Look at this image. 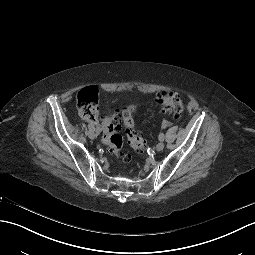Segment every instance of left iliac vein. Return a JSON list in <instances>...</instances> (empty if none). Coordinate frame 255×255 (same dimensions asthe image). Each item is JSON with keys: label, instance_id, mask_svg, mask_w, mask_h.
Instances as JSON below:
<instances>
[{"label": "left iliac vein", "instance_id": "4c4485c4", "mask_svg": "<svg viewBox=\"0 0 255 255\" xmlns=\"http://www.w3.org/2000/svg\"><path fill=\"white\" fill-rule=\"evenodd\" d=\"M164 149V143L161 141L156 145V150L158 152L162 151Z\"/></svg>", "mask_w": 255, "mask_h": 255}]
</instances>
